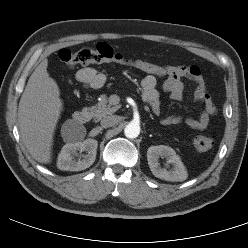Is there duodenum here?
<instances>
[{
  "label": "duodenum",
  "instance_id": "obj_1",
  "mask_svg": "<svg viewBox=\"0 0 248 248\" xmlns=\"http://www.w3.org/2000/svg\"><path fill=\"white\" fill-rule=\"evenodd\" d=\"M73 119L78 124H84L90 119V112L88 110H80L73 114Z\"/></svg>",
  "mask_w": 248,
  "mask_h": 248
}]
</instances>
